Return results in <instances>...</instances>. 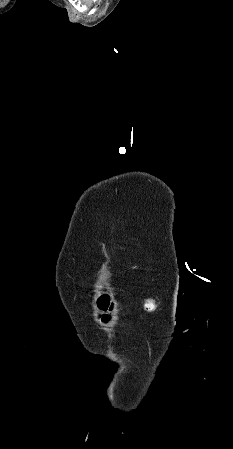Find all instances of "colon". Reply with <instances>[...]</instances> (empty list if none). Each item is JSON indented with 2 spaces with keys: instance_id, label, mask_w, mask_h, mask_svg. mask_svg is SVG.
<instances>
[{
  "instance_id": "obj_1",
  "label": "colon",
  "mask_w": 233,
  "mask_h": 449,
  "mask_svg": "<svg viewBox=\"0 0 233 449\" xmlns=\"http://www.w3.org/2000/svg\"><path fill=\"white\" fill-rule=\"evenodd\" d=\"M119 299L118 298H113L112 301H110V299L108 297H100L98 299V304L100 306H104L105 308V313L103 314V312H98V317H103V315L105 316L106 319H113L115 316V313L113 310H116L117 305L119 304Z\"/></svg>"
}]
</instances>
